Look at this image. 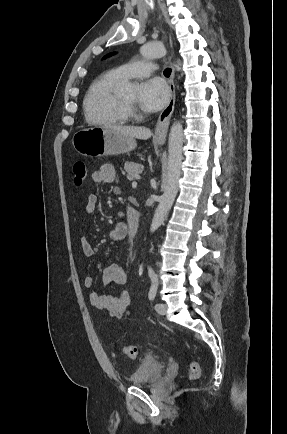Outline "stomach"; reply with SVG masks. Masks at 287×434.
Returning <instances> with one entry per match:
<instances>
[{
	"instance_id": "1",
	"label": "stomach",
	"mask_w": 287,
	"mask_h": 434,
	"mask_svg": "<svg viewBox=\"0 0 287 434\" xmlns=\"http://www.w3.org/2000/svg\"><path fill=\"white\" fill-rule=\"evenodd\" d=\"M164 139L156 140L162 144ZM74 149L83 156L101 157L120 155L134 150L135 138L118 133L108 127L95 126L78 130L72 138Z\"/></svg>"
}]
</instances>
